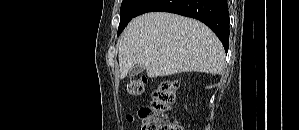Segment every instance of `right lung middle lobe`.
I'll return each mask as SVG.
<instances>
[{
    "instance_id": "obj_1",
    "label": "right lung middle lobe",
    "mask_w": 299,
    "mask_h": 130,
    "mask_svg": "<svg viewBox=\"0 0 299 130\" xmlns=\"http://www.w3.org/2000/svg\"><path fill=\"white\" fill-rule=\"evenodd\" d=\"M147 0H123L121 4L120 12V24L118 28L117 35H119L123 29L127 26L129 21L135 17V14L140 9V7Z\"/></svg>"
}]
</instances>
